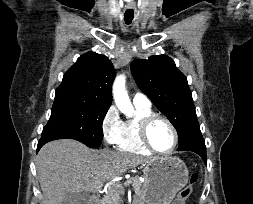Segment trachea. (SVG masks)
Instances as JSON below:
<instances>
[{"label":"trachea","instance_id":"obj_1","mask_svg":"<svg viewBox=\"0 0 253 204\" xmlns=\"http://www.w3.org/2000/svg\"><path fill=\"white\" fill-rule=\"evenodd\" d=\"M134 11L133 9H127L124 14V21L129 25L133 20Z\"/></svg>","mask_w":253,"mask_h":204}]
</instances>
